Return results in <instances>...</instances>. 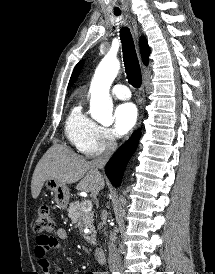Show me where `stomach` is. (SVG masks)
<instances>
[{
	"label": "stomach",
	"instance_id": "obj_1",
	"mask_svg": "<svg viewBox=\"0 0 215 274\" xmlns=\"http://www.w3.org/2000/svg\"><path fill=\"white\" fill-rule=\"evenodd\" d=\"M47 189H49L55 196L56 204L65 209L69 202V188L66 184H62L53 178H48L45 181Z\"/></svg>",
	"mask_w": 215,
	"mask_h": 274
}]
</instances>
